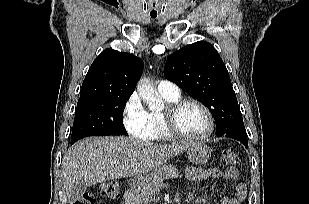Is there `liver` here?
Returning a JSON list of instances; mask_svg holds the SVG:
<instances>
[{"mask_svg":"<svg viewBox=\"0 0 309 204\" xmlns=\"http://www.w3.org/2000/svg\"><path fill=\"white\" fill-rule=\"evenodd\" d=\"M190 143L158 145L129 137H89L75 143L62 160L61 177L70 201L77 181L92 186L141 176L184 152Z\"/></svg>","mask_w":309,"mask_h":204,"instance_id":"liver-1","label":"liver"}]
</instances>
